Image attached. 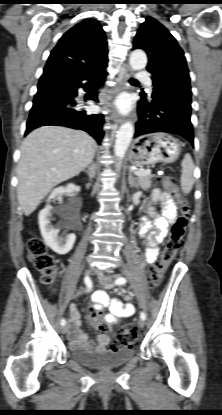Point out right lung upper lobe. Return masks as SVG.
<instances>
[{"label": "right lung upper lobe", "instance_id": "cb5924a9", "mask_svg": "<svg viewBox=\"0 0 222 415\" xmlns=\"http://www.w3.org/2000/svg\"><path fill=\"white\" fill-rule=\"evenodd\" d=\"M107 53V41L101 25L88 19L76 24L60 38L45 68L86 74L106 68Z\"/></svg>", "mask_w": 222, "mask_h": 415}]
</instances>
